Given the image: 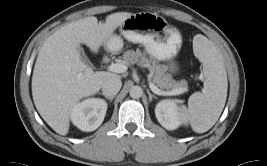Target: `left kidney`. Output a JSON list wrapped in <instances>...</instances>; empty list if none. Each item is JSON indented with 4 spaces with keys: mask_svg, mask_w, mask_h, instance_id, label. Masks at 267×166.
<instances>
[{
    "mask_svg": "<svg viewBox=\"0 0 267 166\" xmlns=\"http://www.w3.org/2000/svg\"><path fill=\"white\" fill-rule=\"evenodd\" d=\"M158 122L168 130L176 129L180 124L178 108L172 100H162L155 107Z\"/></svg>",
    "mask_w": 267,
    "mask_h": 166,
    "instance_id": "left-kidney-1",
    "label": "left kidney"
}]
</instances>
